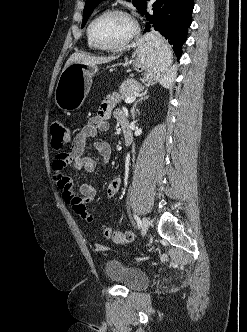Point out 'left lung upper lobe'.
Wrapping results in <instances>:
<instances>
[{
  "instance_id": "5c2ea615",
  "label": "left lung upper lobe",
  "mask_w": 247,
  "mask_h": 332,
  "mask_svg": "<svg viewBox=\"0 0 247 332\" xmlns=\"http://www.w3.org/2000/svg\"><path fill=\"white\" fill-rule=\"evenodd\" d=\"M104 0H86L85 7L83 11V21H82V27L85 26L88 18L90 17L93 10L96 8V6L101 3ZM130 1V0H127ZM146 0H132L133 5L139 10L142 11V9L145 6Z\"/></svg>"
}]
</instances>
